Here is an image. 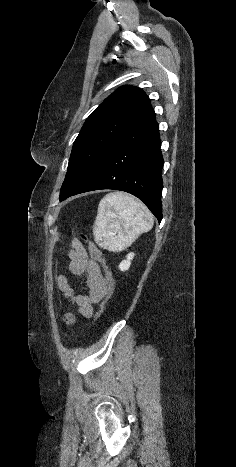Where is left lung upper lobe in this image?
Segmentation results:
<instances>
[{"label":"left lung upper lobe","mask_w":236,"mask_h":467,"mask_svg":"<svg viewBox=\"0 0 236 467\" xmlns=\"http://www.w3.org/2000/svg\"><path fill=\"white\" fill-rule=\"evenodd\" d=\"M152 110L148 96L138 87L123 86L107 97L85 121L73 144L60 200L79 190L110 147Z\"/></svg>","instance_id":"1"}]
</instances>
